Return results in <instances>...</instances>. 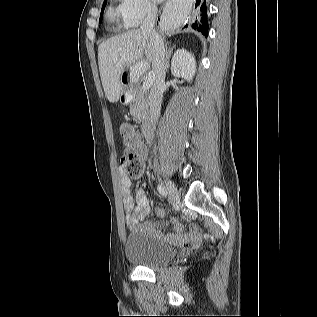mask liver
Segmentation results:
<instances>
[{
    "label": "liver",
    "mask_w": 317,
    "mask_h": 317,
    "mask_svg": "<svg viewBox=\"0 0 317 317\" xmlns=\"http://www.w3.org/2000/svg\"><path fill=\"white\" fill-rule=\"evenodd\" d=\"M164 41V38H162ZM143 55L146 61H142ZM153 46L140 29L129 30L102 42L98 47V65L105 96L111 103L117 102L122 94L121 75L132 65L139 77L148 69V62L154 64ZM140 63L143 67L139 69Z\"/></svg>",
    "instance_id": "liver-1"
}]
</instances>
